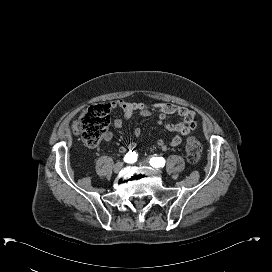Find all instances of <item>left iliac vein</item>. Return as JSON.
Segmentation results:
<instances>
[{
    "instance_id": "4c4485c4",
    "label": "left iliac vein",
    "mask_w": 272,
    "mask_h": 272,
    "mask_svg": "<svg viewBox=\"0 0 272 272\" xmlns=\"http://www.w3.org/2000/svg\"><path fill=\"white\" fill-rule=\"evenodd\" d=\"M139 165H141V166H147L148 163L145 162V161H140V162H139ZM156 170L159 171V169H156Z\"/></svg>"
}]
</instances>
